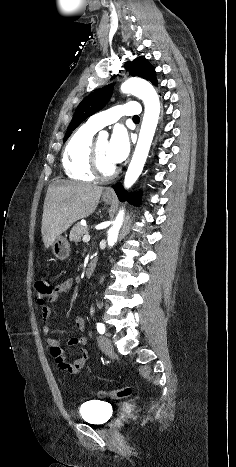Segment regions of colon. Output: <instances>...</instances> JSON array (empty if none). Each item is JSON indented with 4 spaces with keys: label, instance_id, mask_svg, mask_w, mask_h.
<instances>
[{
    "label": "colon",
    "instance_id": "obj_1",
    "mask_svg": "<svg viewBox=\"0 0 236 467\" xmlns=\"http://www.w3.org/2000/svg\"><path fill=\"white\" fill-rule=\"evenodd\" d=\"M35 289L37 294V301L39 304H44L48 299H50L53 293L52 283L49 279L45 277H42L36 281ZM131 394L132 388L130 386H126L116 391L99 393L100 396H106L112 399L126 398L129 397Z\"/></svg>",
    "mask_w": 236,
    "mask_h": 467
}]
</instances>
